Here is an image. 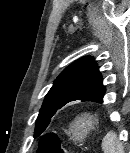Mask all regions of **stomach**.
Here are the masks:
<instances>
[{
  "label": "stomach",
  "instance_id": "1",
  "mask_svg": "<svg viewBox=\"0 0 130 153\" xmlns=\"http://www.w3.org/2000/svg\"><path fill=\"white\" fill-rule=\"evenodd\" d=\"M98 120L91 114H83L74 119L67 130L68 136L77 142H82L96 128Z\"/></svg>",
  "mask_w": 130,
  "mask_h": 153
}]
</instances>
